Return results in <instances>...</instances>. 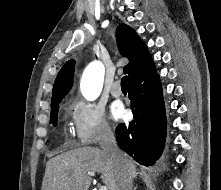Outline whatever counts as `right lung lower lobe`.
Here are the masks:
<instances>
[{"label": "right lung lower lobe", "mask_w": 221, "mask_h": 190, "mask_svg": "<svg viewBox=\"0 0 221 190\" xmlns=\"http://www.w3.org/2000/svg\"><path fill=\"white\" fill-rule=\"evenodd\" d=\"M134 119L116 127L119 147L138 163L153 165L161 156L166 140V112L158 74L129 84Z\"/></svg>", "instance_id": "right-lung-lower-lobe-1"}]
</instances>
